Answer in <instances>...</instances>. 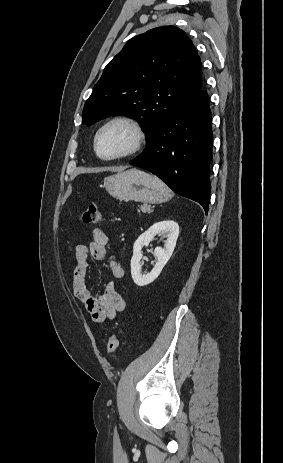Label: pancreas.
<instances>
[{"instance_id":"1","label":"pancreas","mask_w":283,"mask_h":463,"mask_svg":"<svg viewBox=\"0 0 283 463\" xmlns=\"http://www.w3.org/2000/svg\"><path fill=\"white\" fill-rule=\"evenodd\" d=\"M143 212V213H151L152 210L150 209V206L148 205H141L139 206L138 213Z\"/></svg>"}]
</instances>
